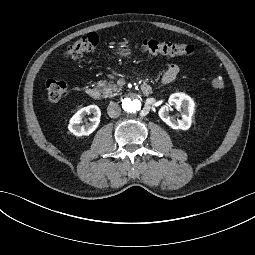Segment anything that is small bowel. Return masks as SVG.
<instances>
[{
  "label": "small bowel",
  "instance_id": "small-bowel-1",
  "mask_svg": "<svg viewBox=\"0 0 255 255\" xmlns=\"http://www.w3.org/2000/svg\"><path fill=\"white\" fill-rule=\"evenodd\" d=\"M179 73V66L176 63L169 62L166 65V69L161 77L162 84L172 83Z\"/></svg>",
  "mask_w": 255,
  "mask_h": 255
}]
</instances>
